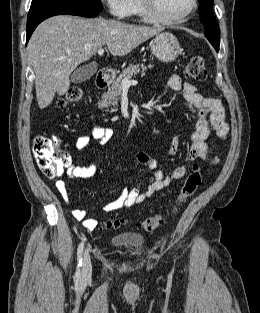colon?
Instances as JSON below:
<instances>
[{"label": "colon", "instance_id": "5ec220e1", "mask_svg": "<svg viewBox=\"0 0 260 313\" xmlns=\"http://www.w3.org/2000/svg\"><path fill=\"white\" fill-rule=\"evenodd\" d=\"M185 75L189 79L196 81H204L207 78V71L204 59L200 56L192 57L185 66ZM83 97L80 87H71L66 95L57 101L59 108L79 102ZM33 154L36 164L40 171L48 178L60 177L68 166L67 154L59 148V140L57 138L46 135H38L33 142ZM210 163H214L211 159ZM203 169L196 166L190 170L185 182L181 188L180 194L175 200V206L183 203L191 197L202 182ZM163 218L161 214H155L138 223L145 231L151 232L162 224ZM124 221L119 218H111L102 223L106 229H118L123 225Z\"/></svg>", "mask_w": 260, "mask_h": 313}]
</instances>
